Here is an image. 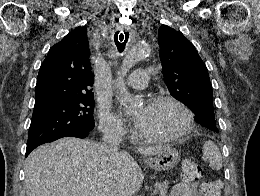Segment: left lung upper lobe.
I'll return each instance as SVG.
<instances>
[{"label": "left lung upper lobe", "mask_w": 260, "mask_h": 196, "mask_svg": "<svg viewBox=\"0 0 260 196\" xmlns=\"http://www.w3.org/2000/svg\"><path fill=\"white\" fill-rule=\"evenodd\" d=\"M158 41L162 73L170 94L193 112L199 108L213 109L208 71L193 44L167 25L159 27ZM206 128L219 132L216 122Z\"/></svg>", "instance_id": "1"}]
</instances>
